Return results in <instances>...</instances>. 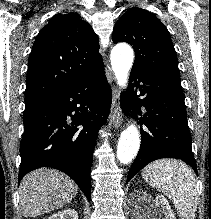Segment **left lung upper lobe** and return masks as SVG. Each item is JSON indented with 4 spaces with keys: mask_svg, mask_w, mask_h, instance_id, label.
Masks as SVG:
<instances>
[{
    "mask_svg": "<svg viewBox=\"0 0 211 219\" xmlns=\"http://www.w3.org/2000/svg\"><path fill=\"white\" fill-rule=\"evenodd\" d=\"M112 39L114 43L123 41L132 45L135 51L132 68L180 75L170 34L149 11L128 9L116 22Z\"/></svg>",
    "mask_w": 211,
    "mask_h": 219,
    "instance_id": "left-lung-upper-lobe-1",
    "label": "left lung upper lobe"
}]
</instances>
